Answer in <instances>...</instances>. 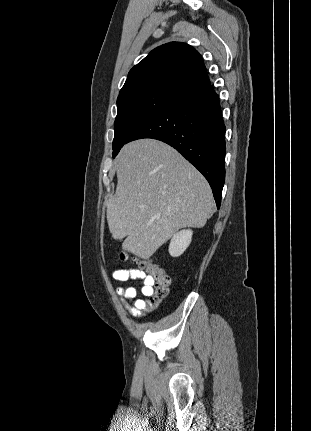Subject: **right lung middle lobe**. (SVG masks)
Wrapping results in <instances>:
<instances>
[{
    "label": "right lung middle lobe",
    "mask_w": 311,
    "mask_h": 431,
    "mask_svg": "<svg viewBox=\"0 0 311 431\" xmlns=\"http://www.w3.org/2000/svg\"><path fill=\"white\" fill-rule=\"evenodd\" d=\"M179 97L175 93L155 88L138 89L119 95L114 123L113 157L142 123Z\"/></svg>",
    "instance_id": "1"
}]
</instances>
